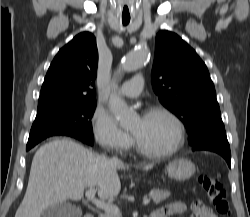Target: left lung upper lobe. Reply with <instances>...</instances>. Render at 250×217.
<instances>
[{
  "label": "left lung upper lobe",
  "instance_id": "5c2ea615",
  "mask_svg": "<svg viewBox=\"0 0 250 217\" xmlns=\"http://www.w3.org/2000/svg\"><path fill=\"white\" fill-rule=\"evenodd\" d=\"M152 86L160 102L184 123L189 142L223 124L205 63L175 33L162 30L156 35Z\"/></svg>",
  "mask_w": 250,
  "mask_h": 217
}]
</instances>
